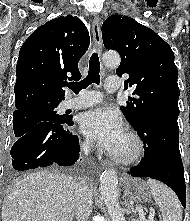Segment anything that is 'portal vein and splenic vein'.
Segmentation results:
<instances>
[{
    "label": "portal vein and splenic vein",
    "instance_id": "18ae733b",
    "mask_svg": "<svg viewBox=\"0 0 190 221\" xmlns=\"http://www.w3.org/2000/svg\"><path fill=\"white\" fill-rule=\"evenodd\" d=\"M136 210L140 213V219L141 221H154L153 218H150L149 220H145L144 214H143V209L141 207H136ZM153 211L152 209H150Z\"/></svg>",
    "mask_w": 190,
    "mask_h": 221
}]
</instances>
